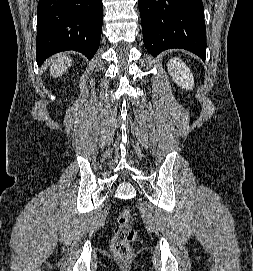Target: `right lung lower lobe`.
Returning a JSON list of instances; mask_svg holds the SVG:
<instances>
[{"instance_id":"1","label":"right lung lower lobe","mask_w":253,"mask_h":271,"mask_svg":"<svg viewBox=\"0 0 253 271\" xmlns=\"http://www.w3.org/2000/svg\"><path fill=\"white\" fill-rule=\"evenodd\" d=\"M102 22V0H39L37 63L65 50L91 59L99 47Z\"/></svg>"}]
</instances>
